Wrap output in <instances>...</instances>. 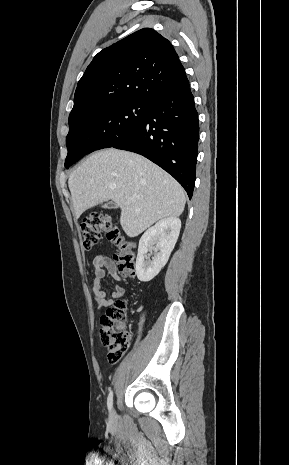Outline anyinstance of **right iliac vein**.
<instances>
[{
	"mask_svg": "<svg viewBox=\"0 0 289 465\" xmlns=\"http://www.w3.org/2000/svg\"><path fill=\"white\" fill-rule=\"evenodd\" d=\"M115 418H116L115 411L112 410V411H111V414H110V421H111V422H114Z\"/></svg>",
	"mask_w": 289,
	"mask_h": 465,
	"instance_id": "right-iliac-vein-1",
	"label": "right iliac vein"
}]
</instances>
